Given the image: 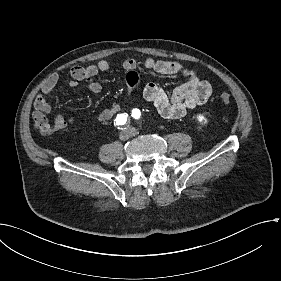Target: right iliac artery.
Instances as JSON below:
<instances>
[{"mask_svg": "<svg viewBox=\"0 0 281 281\" xmlns=\"http://www.w3.org/2000/svg\"><path fill=\"white\" fill-rule=\"evenodd\" d=\"M128 114L127 113H120L117 115V117L114 120V125H116V127L118 129H126L125 128V124L128 122Z\"/></svg>", "mask_w": 281, "mask_h": 281, "instance_id": "82829eb1", "label": "right iliac artery"}]
</instances>
